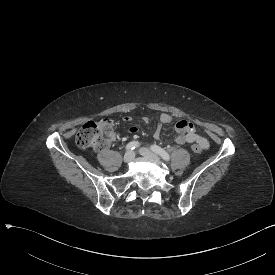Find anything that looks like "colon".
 Segmentation results:
<instances>
[{
    "label": "colon",
    "instance_id": "obj_1",
    "mask_svg": "<svg viewBox=\"0 0 275 275\" xmlns=\"http://www.w3.org/2000/svg\"><path fill=\"white\" fill-rule=\"evenodd\" d=\"M114 123L111 119L102 121H88L83 124L77 132L75 141L80 148L102 149L103 143H110L115 137ZM206 148L204 143H195L192 147L196 153L202 152Z\"/></svg>",
    "mask_w": 275,
    "mask_h": 275
}]
</instances>
